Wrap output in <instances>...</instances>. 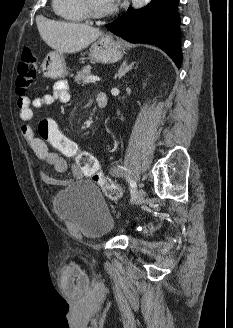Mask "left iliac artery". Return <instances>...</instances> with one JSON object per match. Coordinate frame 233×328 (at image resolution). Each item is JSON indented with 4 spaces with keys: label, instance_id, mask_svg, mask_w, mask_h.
<instances>
[{
    "label": "left iliac artery",
    "instance_id": "left-iliac-artery-1",
    "mask_svg": "<svg viewBox=\"0 0 233 328\" xmlns=\"http://www.w3.org/2000/svg\"><path fill=\"white\" fill-rule=\"evenodd\" d=\"M130 182V192H131V196L132 198L135 197V194L137 192V186L136 183L133 180L128 179Z\"/></svg>",
    "mask_w": 233,
    "mask_h": 328
}]
</instances>
